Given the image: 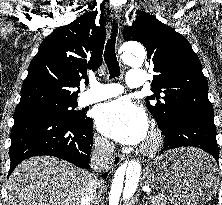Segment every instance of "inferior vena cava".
<instances>
[{
  "instance_id": "602c4592",
  "label": "inferior vena cava",
  "mask_w": 222,
  "mask_h": 205,
  "mask_svg": "<svg viewBox=\"0 0 222 205\" xmlns=\"http://www.w3.org/2000/svg\"><path fill=\"white\" fill-rule=\"evenodd\" d=\"M114 144L107 139H97L91 156L90 166L96 172H105L111 168ZM97 181L93 175L83 189L80 205H92L96 197Z\"/></svg>"
}]
</instances>
